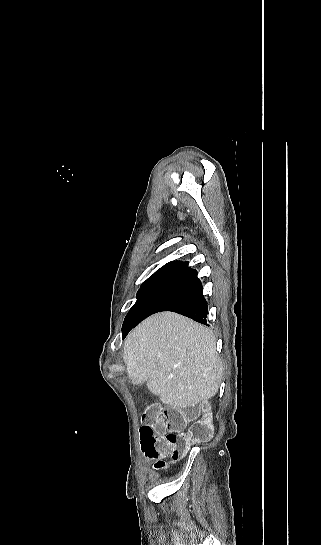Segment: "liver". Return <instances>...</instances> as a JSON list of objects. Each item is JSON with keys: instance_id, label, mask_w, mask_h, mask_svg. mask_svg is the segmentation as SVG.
<instances>
[{"instance_id": "6515ba94", "label": "liver", "mask_w": 321, "mask_h": 545, "mask_svg": "<svg viewBox=\"0 0 321 545\" xmlns=\"http://www.w3.org/2000/svg\"><path fill=\"white\" fill-rule=\"evenodd\" d=\"M123 359L131 383L146 381L147 389L173 409L212 399L223 377L212 331L176 313H157L133 329Z\"/></svg>"}]
</instances>
